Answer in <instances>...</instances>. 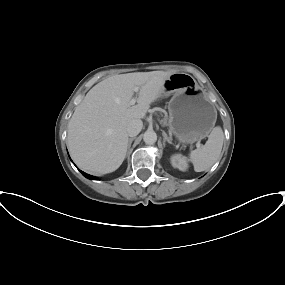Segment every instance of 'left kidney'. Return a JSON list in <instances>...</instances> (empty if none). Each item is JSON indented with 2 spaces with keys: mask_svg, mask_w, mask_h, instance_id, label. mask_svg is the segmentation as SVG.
Instances as JSON below:
<instances>
[{
  "mask_svg": "<svg viewBox=\"0 0 285 285\" xmlns=\"http://www.w3.org/2000/svg\"><path fill=\"white\" fill-rule=\"evenodd\" d=\"M171 164L174 168H178L181 171H186L188 163L186 157L176 154L171 157Z\"/></svg>",
  "mask_w": 285,
  "mask_h": 285,
  "instance_id": "left-kidney-1",
  "label": "left kidney"
}]
</instances>
